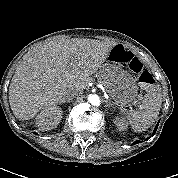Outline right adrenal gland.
Returning a JSON list of instances; mask_svg holds the SVG:
<instances>
[{"instance_id":"1","label":"right adrenal gland","mask_w":178,"mask_h":178,"mask_svg":"<svg viewBox=\"0 0 178 178\" xmlns=\"http://www.w3.org/2000/svg\"><path fill=\"white\" fill-rule=\"evenodd\" d=\"M71 100H72V98L63 99V100L60 102V104H64L65 102L70 103Z\"/></svg>"}]
</instances>
